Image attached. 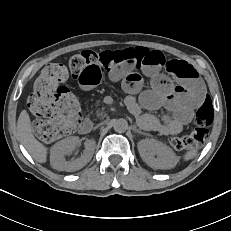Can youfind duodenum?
<instances>
[{"label":"duodenum","instance_id":"1","mask_svg":"<svg viewBox=\"0 0 231 231\" xmlns=\"http://www.w3.org/2000/svg\"><path fill=\"white\" fill-rule=\"evenodd\" d=\"M93 127V123L90 119H85L79 126L80 134H88Z\"/></svg>","mask_w":231,"mask_h":231}]
</instances>
